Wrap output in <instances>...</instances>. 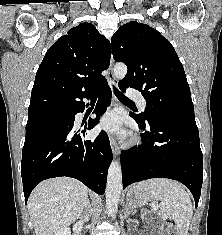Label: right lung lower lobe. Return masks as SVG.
Here are the masks:
<instances>
[{"instance_id": "obj_1", "label": "right lung lower lobe", "mask_w": 222, "mask_h": 235, "mask_svg": "<svg viewBox=\"0 0 222 235\" xmlns=\"http://www.w3.org/2000/svg\"><path fill=\"white\" fill-rule=\"evenodd\" d=\"M97 96L95 119L78 127L75 115L84 111L83 98ZM111 90L106 81L94 90L62 102L51 117L63 122L26 135L22 152L21 175L25 202L42 180L67 176L80 180L98 194L105 191L112 151L107 134L85 140L87 130L99 123L100 115L110 104Z\"/></svg>"}]
</instances>
